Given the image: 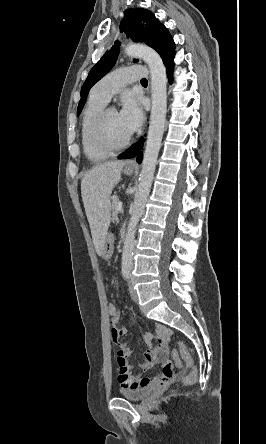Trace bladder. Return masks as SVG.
Masks as SVG:
<instances>
[{
  "label": "bladder",
  "instance_id": "31cf9c89",
  "mask_svg": "<svg viewBox=\"0 0 266 444\" xmlns=\"http://www.w3.org/2000/svg\"><path fill=\"white\" fill-rule=\"evenodd\" d=\"M153 385L144 386L140 388L134 389H122L120 394L122 397L132 400V401H141L149 396V394L153 391Z\"/></svg>",
  "mask_w": 266,
  "mask_h": 444
}]
</instances>
